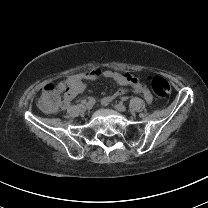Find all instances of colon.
I'll list each match as a JSON object with an SVG mask.
<instances>
[{
    "instance_id": "5ec220e1",
    "label": "colon",
    "mask_w": 208,
    "mask_h": 208,
    "mask_svg": "<svg viewBox=\"0 0 208 208\" xmlns=\"http://www.w3.org/2000/svg\"><path fill=\"white\" fill-rule=\"evenodd\" d=\"M152 90L158 97H166L171 93L169 82L161 77L155 75H148L146 77ZM71 94V87L67 83L48 84L45 87V93L41 100V107L45 111H59L63 107L62 98H67Z\"/></svg>"
}]
</instances>
